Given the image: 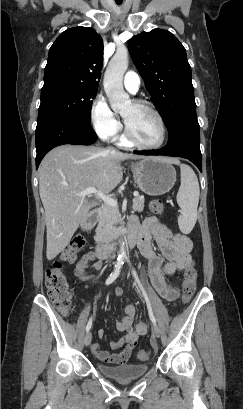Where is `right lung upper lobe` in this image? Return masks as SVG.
Instances as JSON below:
<instances>
[{"mask_svg":"<svg viewBox=\"0 0 243 409\" xmlns=\"http://www.w3.org/2000/svg\"><path fill=\"white\" fill-rule=\"evenodd\" d=\"M102 64L101 36L92 28H70L51 46L44 80H65L97 89Z\"/></svg>","mask_w":243,"mask_h":409,"instance_id":"right-lung-upper-lobe-1","label":"right lung upper lobe"}]
</instances>
